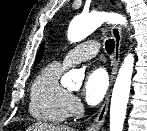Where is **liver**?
Listing matches in <instances>:
<instances>
[{"mask_svg": "<svg viewBox=\"0 0 147 131\" xmlns=\"http://www.w3.org/2000/svg\"><path fill=\"white\" fill-rule=\"evenodd\" d=\"M26 131H75V130L67 126L37 122L29 126Z\"/></svg>", "mask_w": 147, "mask_h": 131, "instance_id": "obj_1", "label": "liver"}]
</instances>
